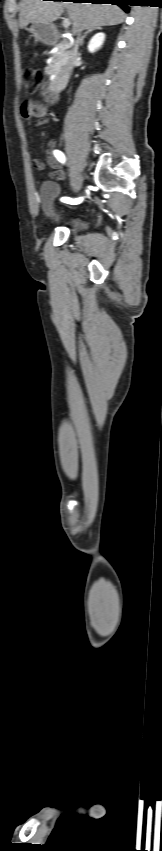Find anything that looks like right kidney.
Listing matches in <instances>:
<instances>
[{"instance_id": "1", "label": "right kidney", "mask_w": 162, "mask_h": 851, "mask_svg": "<svg viewBox=\"0 0 162 851\" xmlns=\"http://www.w3.org/2000/svg\"><path fill=\"white\" fill-rule=\"evenodd\" d=\"M104 40H105V34L104 33H97L96 35H94L92 37V39L89 41L88 51L91 52V53L95 52L97 49H99L101 47Z\"/></svg>"}]
</instances>
